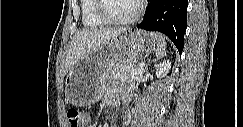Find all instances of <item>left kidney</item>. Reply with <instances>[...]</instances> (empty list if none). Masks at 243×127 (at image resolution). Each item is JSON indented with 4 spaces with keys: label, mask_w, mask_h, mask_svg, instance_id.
I'll return each mask as SVG.
<instances>
[{
    "label": "left kidney",
    "mask_w": 243,
    "mask_h": 127,
    "mask_svg": "<svg viewBox=\"0 0 243 127\" xmlns=\"http://www.w3.org/2000/svg\"><path fill=\"white\" fill-rule=\"evenodd\" d=\"M171 68V62L170 61H165L162 64H160L156 70V76L158 78H163L167 75Z\"/></svg>",
    "instance_id": "5707ae66"
}]
</instances>
